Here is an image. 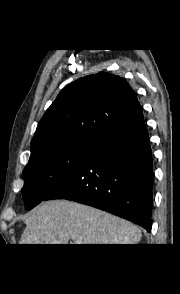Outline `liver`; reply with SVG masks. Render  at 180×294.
Listing matches in <instances>:
<instances>
[{
	"mask_svg": "<svg viewBox=\"0 0 180 294\" xmlns=\"http://www.w3.org/2000/svg\"><path fill=\"white\" fill-rule=\"evenodd\" d=\"M25 222L20 244H137L142 237L129 221L67 200L43 203Z\"/></svg>",
	"mask_w": 180,
	"mask_h": 294,
	"instance_id": "obj_1",
	"label": "liver"
}]
</instances>
